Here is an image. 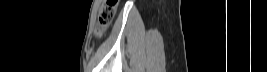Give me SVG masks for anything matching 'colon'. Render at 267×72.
Listing matches in <instances>:
<instances>
[{
	"mask_svg": "<svg viewBox=\"0 0 267 72\" xmlns=\"http://www.w3.org/2000/svg\"><path fill=\"white\" fill-rule=\"evenodd\" d=\"M117 0H108L105 5L99 11L98 27L96 33L100 35L105 28L111 23L116 8Z\"/></svg>",
	"mask_w": 267,
	"mask_h": 72,
	"instance_id": "1",
	"label": "colon"
}]
</instances>
